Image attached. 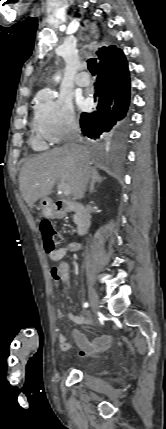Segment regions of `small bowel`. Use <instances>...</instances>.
<instances>
[{
    "mask_svg": "<svg viewBox=\"0 0 166 429\" xmlns=\"http://www.w3.org/2000/svg\"><path fill=\"white\" fill-rule=\"evenodd\" d=\"M80 249V244L78 243H69L68 245L58 248L55 251L49 253V258L52 261L59 262V265L51 269V277L56 287L64 286L69 288L70 286V265L68 262L64 261L65 256L69 252H76ZM56 316L58 318L64 317V312L61 309L56 311ZM69 319L75 324L87 325L90 324V319L80 315V314H68ZM72 337L80 348L79 356L81 358L91 357L97 353H102L106 351L112 343V338L108 335H102L89 340L85 334L77 329H73ZM59 344L60 348L63 351H71L72 346L67 341V338L64 334H59Z\"/></svg>",
    "mask_w": 166,
    "mask_h": 429,
    "instance_id": "obj_1",
    "label": "small bowel"
}]
</instances>
